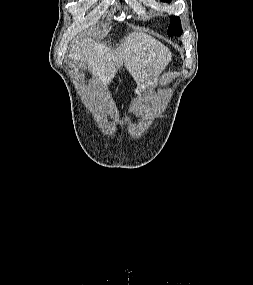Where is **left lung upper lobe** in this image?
Wrapping results in <instances>:
<instances>
[{
	"mask_svg": "<svg viewBox=\"0 0 253 285\" xmlns=\"http://www.w3.org/2000/svg\"><path fill=\"white\" fill-rule=\"evenodd\" d=\"M163 2H169L170 0H161ZM182 34L181 22L178 16L171 17V24L168 28V35H177L180 36Z\"/></svg>",
	"mask_w": 253,
	"mask_h": 285,
	"instance_id": "5c2ea615",
	"label": "left lung upper lobe"
}]
</instances>
